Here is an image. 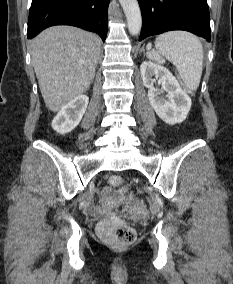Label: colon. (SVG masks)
Listing matches in <instances>:
<instances>
[{
    "mask_svg": "<svg viewBox=\"0 0 233 284\" xmlns=\"http://www.w3.org/2000/svg\"><path fill=\"white\" fill-rule=\"evenodd\" d=\"M147 54L152 61L159 64L165 63L164 57L155 49H150ZM108 182L111 186L118 188L122 185L123 180L118 175H111L108 178ZM118 200L123 202L131 212L137 214L145 213L143 202L133 198L123 189L118 191ZM97 230L102 239L116 246L130 245L137 237L136 231L132 227L117 219L100 222Z\"/></svg>",
    "mask_w": 233,
    "mask_h": 284,
    "instance_id": "obj_1",
    "label": "colon"
}]
</instances>
